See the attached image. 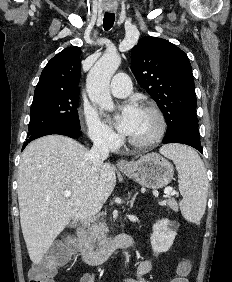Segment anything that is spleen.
Wrapping results in <instances>:
<instances>
[{
    "label": "spleen",
    "instance_id": "3e777b00",
    "mask_svg": "<svg viewBox=\"0 0 232 282\" xmlns=\"http://www.w3.org/2000/svg\"><path fill=\"white\" fill-rule=\"evenodd\" d=\"M160 152L176 165L179 190L183 196L180 202L183 217L189 222H199L205 213L208 192L203 161L196 151L184 145H168Z\"/></svg>",
    "mask_w": 232,
    "mask_h": 282
}]
</instances>
